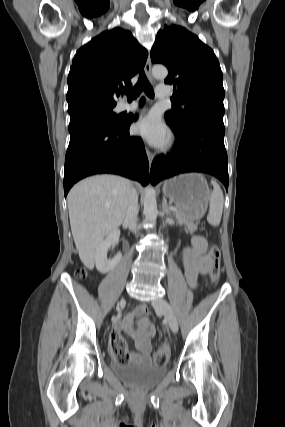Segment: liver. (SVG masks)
Masks as SVG:
<instances>
[{
    "label": "liver",
    "instance_id": "liver-1",
    "mask_svg": "<svg viewBox=\"0 0 285 427\" xmlns=\"http://www.w3.org/2000/svg\"><path fill=\"white\" fill-rule=\"evenodd\" d=\"M130 190L129 180L114 175L86 178L70 190L67 201L71 231L86 267H94L99 244L122 224Z\"/></svg>",
    "mask_w": 285,
    "mask_h": 427
}]
</instances>
